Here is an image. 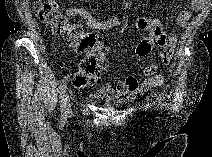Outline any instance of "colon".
<instances>
[{
	"mask_svg": "<svg viewBox=\"0 0 212 157\" xmlns=\"http://www.w3.org/2000/svg\"><path fill=\"white\" fill-rule=\"evenodd\" d=\"M34 7L39 19L53 33L62 37L67 43L76 46L79 52L84 54L73 77V85L78 89H84L94 84L108 65L107 49L100 38L95 34L87 33L81 25L69 21L62 14L56 1L37 0L34 2ZM164 40L165 37L162 34H149L143 37L136 45V56H147L156 44L162 45Z\"/></svg>",
	"mask_w": 212,
	"mask_h": 157,
	"instance_id": "5ec220e1",
	"label": "colon"
}]
</instances>
